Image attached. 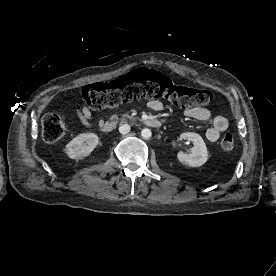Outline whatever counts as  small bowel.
<instances>
[{"label": "small bowel", "instance_id": "small-bowel-1", "mask_svg": "<svg viewBox=\"0 0 276 276\" xmlns=\"http://www.w3.org/2000/svg\"><path fill=\"white\" fill-rule=\"evenodd\" d=\"M148 107L153 111H160L163 109V104L158 100H152L148 103ZM75 112L78 119L82 123V125L87 128H91L92 121H96L99 124L103 121L100 118L94 117L92 111L84 105L78 104L75 107ZM183 115L195 120H199L203 122H211V127L208 128L206 131V138L210 142L217 141L221 133L226 131L229 127V121L225 116L213 115L212 112L207 108H203V107L186 108L183 111Z\"/></svg>", "mask_w": 276, "mask_h": 276}]
</instances>
